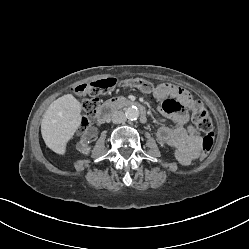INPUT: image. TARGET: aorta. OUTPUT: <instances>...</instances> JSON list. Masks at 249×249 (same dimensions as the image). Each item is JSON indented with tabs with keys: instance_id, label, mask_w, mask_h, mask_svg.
Masks as SVG:
<instances>
[{
	"instance_id": "aorta-1",
	"label": "aorta",
	"mask_w": 249,
	"mask_h": 249,
	"mask_svg": "<svg viewBox=\"0 0 249 249\" xmlns=\"http://www.w3.org/2000/svg\"><path fill=\"white\" fill-rule=\"evenodd\" d=\"M125 115L130 120H136L139 117V110L136 106L126 108Z\"/></svg>"
}]
</instances>
